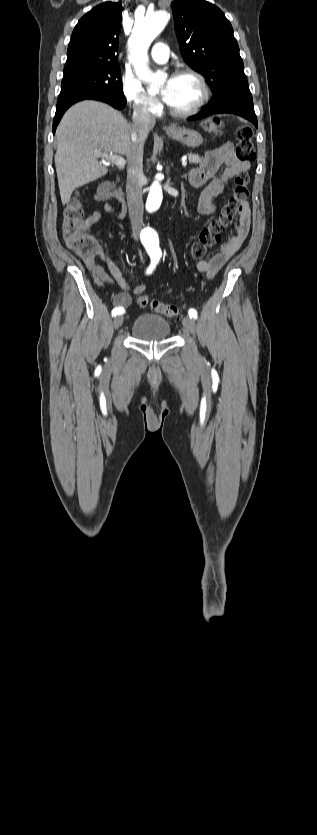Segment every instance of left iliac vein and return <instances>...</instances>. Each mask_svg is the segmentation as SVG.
Segmentation results:
<instances>
[{
  "label": "left iliac vein",
  "instance_id": "obj_1",
  "mask_svg": "<svg viewBox=\"0 0 317 835\" xmlns=\"http://www.w3.org/2000/svg\"><path fill=\"white\" fill-rule=\"evenodd\" d=\"M183 326L187 332L192 335H195V322L192 318L186 316L182 320Z\"/></svg>",
  "mask_w": 317,
  "mask_h": 835
}]
</instances>
